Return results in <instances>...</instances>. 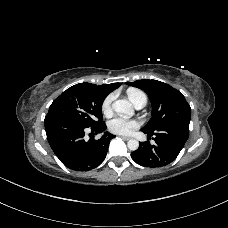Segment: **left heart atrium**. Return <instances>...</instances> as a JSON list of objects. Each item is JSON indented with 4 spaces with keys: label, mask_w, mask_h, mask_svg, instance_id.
Instances as JSON below:
<instances>
[{
    "label": "left heart atrium",
    "mask_w": 228,
    "mask_h": 228,
    "mask_svg": "<svg viewBox=\"0 0 228 228\" xmlns=\"http://www.w3.org/2000/svg\"><path fill=\"white\" fill-rule=\"evenodd\" d=\"M139 124V121L134 119L114 117L109 121L108 128L114 133L127 134L137 128Z\"/></svg>",
    "instance_id": "obj_1"
}]
</instances>
